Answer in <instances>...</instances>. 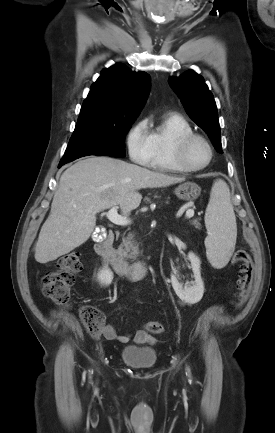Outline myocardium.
I'll list each match as a JSON object with an SVG mask.
<instances>
[{
  "mask_svg": "<svg viewBox=\"0 0 275 433\" xmlns=\"http://www.w3.org/2000/svg\"><path fill=\"white\" fill-rule=\"evenodd\" d=\"M197 140L202 141L209 150V158H208L207 162L202 164V165H193L187 159V150H188L189 146L194 141H197ZM213 157H214L213 146H212L211 142L208 140V138H206L202 134L195 133V132L189 133L187 135L180 137L175 144L174 159H175V162L178 165V167L184 171L192 172V171H199V170L205 169L206 167H208L211 164Z\"/></svg>",
  "mask_w": 275,
  "mask_h": 433,
  "instance_id": "1",
  "label": "myocardium"
}]
</instances>
